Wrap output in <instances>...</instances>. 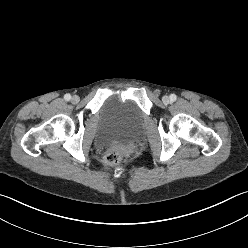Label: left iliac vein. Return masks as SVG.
Returning a JSON list of instances; mask_svg holds the SVG:
<instances>
[{
  "label": "left iliac vein",
  "instance_id": "4c4485c4",
  "mask_svg": "<svg viewBox=\"0 0 248 248\" xmlns=\"http://www.w3.org/2000/svg\"><path fill=\"white\" fill-rule=\"evenodd\" d=\"M162 101L164 104H168L170 102V98L167 95H165L162 97Z\"/></svg>",
  "mask_w": 248,
  "mask_h": 248
}]
</instances>
